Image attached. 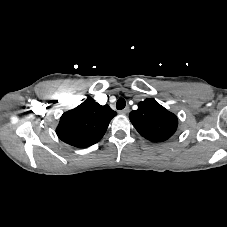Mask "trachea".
Here are the masks:
<instances>
[{
	"instance_id": "trachea-1",
	"label": "trachea",
	"mask_w": 227,
	"mask_h": 227,
	"mask_svg": "<svg viewBox=\"0 0 227 227\" xmlns=\"http://www.w3.org/2000/svg\"><path fill=\"white\" fill-rule=\"evenodd\" d=\"M125 106H126V101L123 98L118 99V101L116 103V108L118 110H122V109H124Z\"/></svg>"
}]
</instances>
